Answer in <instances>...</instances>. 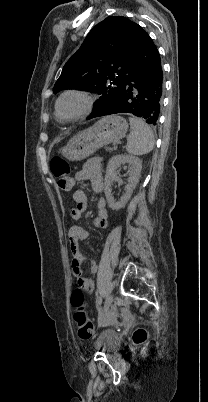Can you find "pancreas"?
Masks as SVG:
<instances>
[{"label": "pancreas", "mask_w": 208, "mask_h": 402, "mask_svg": "<svg viewBox=\"0 0 208 402\" xmlns=\"http://www.w3.org/2000/svg\"><path fill=\"white\" fill-rule=\"evenodd\" d=\"M106 150H108V152H112V148H106Z\"/></svg>", "instance_id": "1"}]
</instances>
